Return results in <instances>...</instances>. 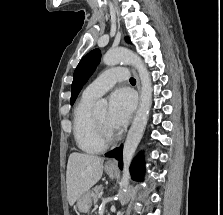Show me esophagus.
<instances>
[{"mask_svg":"<svg viewBox=\"0 0 223 215\" xmlns=\"http://www.w3.org/2000/svg\"><path fill=\"white\" fill-rule=\"evenodd\" d=\"M131 71L133 73V75L135 76L136 78V81H137V89H138V92H139V103H140V91H141V87H140V80H139V77H138V74L137 72L131 68ZM107 165L109 166H116L117 165V161L115 159H111L107 162Z\"/></svg>","mask_w":223,"mask_h":215,"instance_id":"esophagus-1","label":"esophagus"}]
</instances>
